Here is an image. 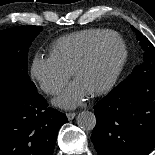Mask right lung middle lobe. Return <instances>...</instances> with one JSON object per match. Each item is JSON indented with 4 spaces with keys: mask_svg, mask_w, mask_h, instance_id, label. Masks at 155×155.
Returning <instances> with one entry per match:
<instances>
[{
    "mask_svg": "<svg viewBox=\"0 0 155 155\" xmlns=\"http://www.w3.org/2000/svg\"><path fill=\"white\" fill-rule=\"evenodd\" d=\"M39 26H21L0 31V100L27 103L36 86L28 76L27 56Z\"/></svg>",
    "mask_w": 155,
    "mask_h": 155,
    "instance_id": "right-lung-middle-lobe-1",
    "label": "right lung middle lobe"
}]
</instances>
